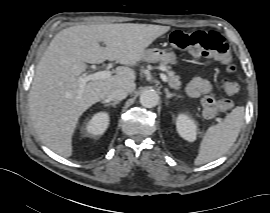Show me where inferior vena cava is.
Wrapping results in <instances>:
<instances>
[{
	"instance_id": "obj_1",
	"label": "inferior vena cava",
	"mask_w": 270,
	"mask_h": 213,
	"mask_svg": "<svg viewBox=\"0 0 270 213\" xmlns=\"http://www.w3.org/2000/svg\"><path fill=\"white\" fill-rule=\"evenodd\" d=\"M128 95V92L122 88L114 89L107 95L108 101H121L125 99Z\"/></svg>"
}]
</instances>
